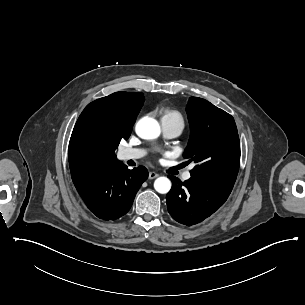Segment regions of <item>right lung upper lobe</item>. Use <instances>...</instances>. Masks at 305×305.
<instances>
[{"mask_svg":"<svg viewBox=\"0 0 305 305\" xmlns=\"http://www.w3.org/2000/svg\"><path fill=\"white\" fill-rule=\"evenodd\" d=\"M142 93L116 92L86 106L73 129L68 159L74 185L117 164L114 143L128 139L143 105Z\"/></svg>","mask_w":305,"mask_h":305,"instance_id":"right-lung-upper-lobe-1","label":"right lung upper lobe"}]
</instances>
